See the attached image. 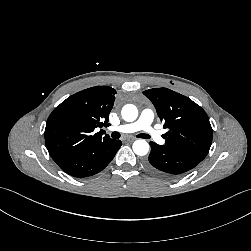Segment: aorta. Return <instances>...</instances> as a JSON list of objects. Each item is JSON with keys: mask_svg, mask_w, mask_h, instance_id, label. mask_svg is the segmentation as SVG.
Wrapping results in <instances>:
<instances>
[{"mask_svg": "<svg viewBox=\"0 0 251 251\" xmlns=\"http://www.w3.org/2000/svg\"><path fill=\"white\" fill-rule=\"evenodd\" d=\"M121 114L125 121L133 122L138 117V110L135 105L126 104L123 106ZM132 149L136 155L144 156L149 152V144L143 139H138L133 143Z\"/></svg>", "mask_w": 251, "mask_h": 251, "instance_id": "762f6f07", "label": "aorta"}]
</instances>
